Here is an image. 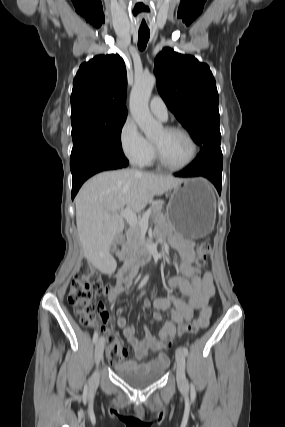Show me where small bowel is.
<instances>
[{"label":"small bowel","mask_w":285,"mask_h":427,"mask_svg":"<svg viewBox=\"0 0 285 427\" xmlns=\"http://www.w3.org/2000/svg\"><path fill=\"white\" fill-rule=\"evenodd\" d=\"M169 242L172 248L178 252L177 263L180 275L171 277L168 280V286L170 288H178L185 299L178 298L168 293L166 297L156 299L153 302L144 300L143 306L145 308H150L152 306L156 310L153 315L154 320L159 321L161 319L160 312L167 313L170 319L163 324L157 334L152 333L148 327H145V336L143 340H139L135 336L133 326L128 325L126 319L121 316L124 312V308L119 307L117 309L119 317L116 320V325L122 329L123 336L131 346L136 358L138 360H144V362L140 363L123 361V358L127 355V351L120 349V357L118 360L113 361L108 359L121 368L136 370L140 373H144L153 367L167 368L169 359L165 354L161 353V350L164 342L168 338H173L176 335L175 324L184 325L189 323L193 317L194 310L200 311L199 321L202 328L207 327L209 324L212 313L210 300L215 293L212 274L206 268H204L202 273L196 272L194 266L195 249L192 241L173 234L170 235ZM131 280L125 282L120 280L117 276L115 285L108 293V299L110 301H116L119 294L130 286ZM98 310L103 322L112 324V318L106 311L104 304L100 303L98 305ZM148 356H151V358H148Z\"/></svg>","instance_id":"obj_1"}]
</instances>
